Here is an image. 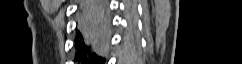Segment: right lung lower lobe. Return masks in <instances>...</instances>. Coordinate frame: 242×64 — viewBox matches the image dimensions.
<instances>
[{"label":"right lung lower lobe","mask_w":242,"mask_h":64,"mask_svg":"<svg viewBox=\"0 0 242 64\" xmlns=\"http://www.w3.org/2000/svg\"><path fill=\"white\" fill-rule=\"evenodd\" d=\"M110 16L106 0H84L74 40L75 61L79 64H100L108 46Z\"/></svg>","instance_id":"obj_1"}]
</instances>
